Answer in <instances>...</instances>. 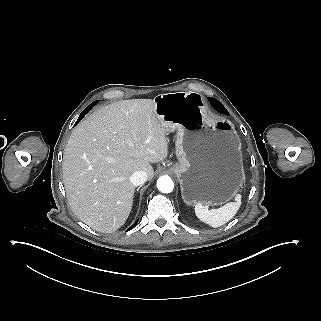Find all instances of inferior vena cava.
Instances as JSON below:
<instances>
[{
	"mask_svg": "<svg viewBox=\"0 0 321 321\" xmlns=\"http://www.w3.org/2000/svg\"><path fill=\"white\" fill-rule=\"evenodd\" d=\"M130 180L135 186L142 185L147 181V174L143 171H135L130 176Z\"/></svg>",
	"mask_w": 321,
	"mask_h": 321,
	"instance_id": "1",
	"label": "inferior vena cava"
}]
</instances>
